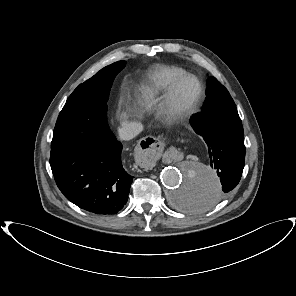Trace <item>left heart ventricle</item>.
<instances>
[{"instance_id":"obj_1","label":"left heart ventricle","mask_w":296,"mask_h":296,"mask_svg":"<svg viewBox=\"0 0 296 296\" xmlns=\"http://www.w3.org/2000/svg\"><path fill=\"white\" fill-rule=\"evenodd\" d=\"M198 93L197 83L192 79L183 81L175 92V100L179 105L191 102Z\"/></svg>"}]
</instances>
